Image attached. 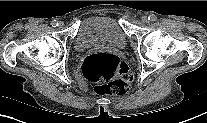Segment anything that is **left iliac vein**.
Wrapping results in <instances>:
<instances>
[{"mask_svg":"<svg viewBox=\"0 0 207 123\" xmlns=\"http://www.w3.org/2000/svg\"><path fill=\"white\" fill-rule=\"evenodd\" d=\"M142 21H143L144 23H148V22H149V19H148L147 16H144V17H142Z\"/></svg>","mask_w":207,"mask_h":123,"instance_id":"obj_1","label":"left iliac vein"}]
</instances>
